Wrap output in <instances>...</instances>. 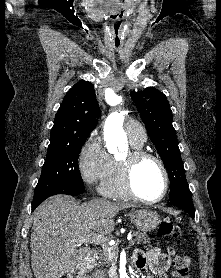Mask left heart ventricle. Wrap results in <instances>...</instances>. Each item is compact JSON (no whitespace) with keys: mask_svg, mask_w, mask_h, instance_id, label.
<instances>
[{"mask_svg":"<svg viewBox=\"0 0 221 278\" xmlns=\"http://www.w3.org/2000/svg\"><path fill=\"white\" fill-rule=\"evenodd\" d=\"M127 152L117 156L124 159ZM133 182L137 192L143 197L154 199L160 196L164 188V178L157 163L151 159L140 161L133 171Z\"/></svg>","mask_w":221,"mask_h":278,"instance_id":"b2bd125f","label":"left heart ventricle"}]
</instances>
